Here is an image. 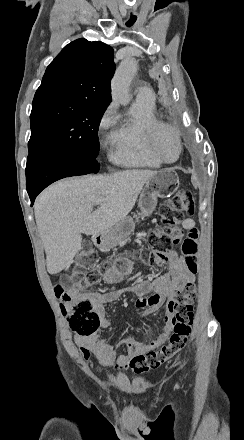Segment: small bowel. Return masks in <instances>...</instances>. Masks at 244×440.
Returning a JSON list of instances; mask_svg holds the SVG:
<instances>
[{
    "instance_id": "c3829d8e",
    "label": "small bowel",
    "mask_w": 244,
    "mask_h": 440,
    "mask_svg": "<svg viewBox=\"0 0 244 440\" xmlns=\"http://www.w3.org/2000/svg\"><path fill=\"white\" fill-rule=\"evenodd\" d=\"M181 225L183 229L190 230L195 228V221L187 218L183 220ZM167 265L168 272L166 274L151 280L141 281L129 289L138 297L137 307L145 310L139 320L145 319L165 306L166 314L162 329L154 334L151 327L144 326L143 329L151 335L150 340L137 342L131 335L124 343L127 346V351L121 354L118 353L117 346L110 344L109 339H101L98 334L77 335L75 341L85 361L94 357L101 366L122 372L130 367L133 353H147L167 341L173 326L172 303L175 292L185 285L193 284L196 273L187 267L185 257L174 250L168 253ZM132 269V262L128 258L120 257L101 275V280L108 284H118L132 272ZM124 292V290L84 292L79 287H72L69 290V294L74 299L92 303L94 310L100 316L99 327L102 329L111 327V322L106 316L105 305L119 300Z\"/></svg>"
}]
</instances>
